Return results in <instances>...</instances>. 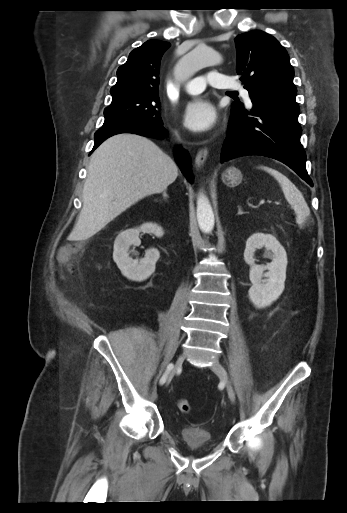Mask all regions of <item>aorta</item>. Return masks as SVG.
I'll use <instances>...</instances> for the list:
<instances>
[{
  "label": "aorta",
  "instance_id": "aorta-1",
  "mask_svg": "<svg viewBox=\"0 0 347 513\" xmlns=\"http://www.w3.org/2000/svg\"><path fill=\"white\" fill-rule=\"evenodd\" d=\"M221 63L222 57L217 52L206 45L200 44L178 61L175 66V77L178 81L184 82L202 68ZM197 220L203 232L210 233L213 230L214 213L208 198L203 192L199 194L197 199Z\"/></svg>",
  "mask_w": 347,
  "mask_h": 513
}]
</instances>
